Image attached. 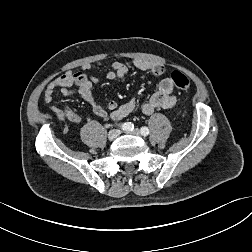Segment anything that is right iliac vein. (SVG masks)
I'll return each mask as SVG.
<instances>
[{
  "label": "right iliac vein",
  "instance_id": "1",
  "mask_svg": "<svg viewBox=\"0 0 252 252\" xmlns=\"http://www.w3.org/2000/svg\"><path fill=\"white\" fill-rule=\"evenodd\" d=\"M119 134H120V130L112 129L108 132V139L113 141L119 136Z\"/></svg>",
  "mask_w": 252,
  "mask_h": 252
}]
</instances>
